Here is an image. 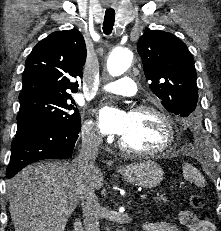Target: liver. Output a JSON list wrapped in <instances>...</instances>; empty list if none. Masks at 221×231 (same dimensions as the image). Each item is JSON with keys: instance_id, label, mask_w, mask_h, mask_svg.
I'll return each mask as SVG.
<instances>
[{"instance_id": "obj_1", "label": "liver", "mask_w": 221, "mask_h": 231, "mask_svg": "<svg viewBox=\"0 0 221 231\" xmlns=\"http://www.w3.org/2000/svg\"><path fill=\"white\" fill-rule=\"evenodd\" d=\"M89 184L72 162H38L7 183L15 231H64L87 186L99 190L103 175L95 166Z\"/></svg>"}]
</instances>
